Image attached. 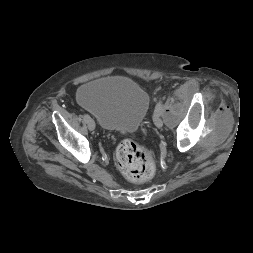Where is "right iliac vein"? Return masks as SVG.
<instances>
[{"mask_svg":"<svg viewBox=\"0 0 253 253\" xmlns=\"http://www.w3.org/2000/svg\"><path fill=\"white\" fill-rule=\"evenodd\" d=\"M87 125H88L89 130H94L96 127L95 122L91 118L87 120Z\"/></svg>","mask_w":253,"mask_h":253,"instance_id":"1","label":"right iliac vein"}]
</instances>
